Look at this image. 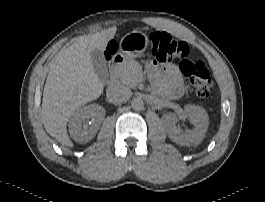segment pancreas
Wrapping results in <instances>:
<instances>
[{
    "label": "pancreas",
    "mask_w": 265,
    "mask_h": 202,
    "mask_svg": "<svg viewBox=\"0 0 265 202\" xmlns=\"http://www.w3.org/2000/svg\"><path fill=\"white\" fill-rule=\"evenodd\" d=\"M115 74L121 83L134 88L142 76L141 65L135 60H127L115 69Z\"/></svg>",
    "instance_id": "1"
}]
</instances>
